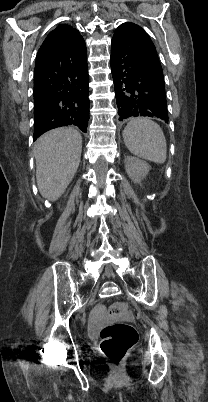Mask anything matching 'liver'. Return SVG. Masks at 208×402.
I'll use <instances>...</instances> for the list:
<instances>
[{
  "label": "liver",
  "instance_id": "obj_1",
  "mask_svg": "<svg viewBox=\"0 0 208 402\" xmlns=\"http://www.w3.org/2000/svg\"><path fill=\"white\" fill-rule=\"evenodd\" d=\"M82 136L74 128H57L38 138L34 146L38 190L56 202L64 194L80 164Z\"/></svg>",
  "mask_w": 208,
  "mask_h": 402
}]
</instances>
